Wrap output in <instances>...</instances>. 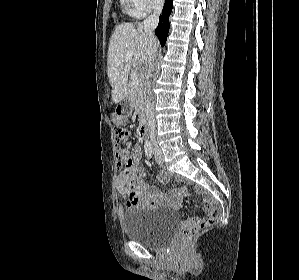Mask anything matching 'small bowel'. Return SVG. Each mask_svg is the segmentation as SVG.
<instances>
[{
	"instance_id": "obj_1",
	"label": "small bowel",
	"mask_w": 299,
	"mask_h": 280,
	"mask_svg": "<svg viewBox=\"0 0 299 280\" xmlns=\"http://www.w3.org/2000/svg\"><path fill=\"white\" fill-rule=\"evenodd\" d=\"M140 147L133 149V156L130 158V165L122 170L117 178V188L129 207L152 208L166 206L171 209H178L187 191L184 188L173 189L169 193H162L157 187L145 181V172L138 164ZM171 178V173L163 170L156 178V182L163 184ZM213 210L210 205L205 208L207 213ZM198 219H189L186 224Z\"/></svg>"
}]
</instances>
